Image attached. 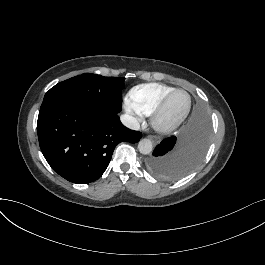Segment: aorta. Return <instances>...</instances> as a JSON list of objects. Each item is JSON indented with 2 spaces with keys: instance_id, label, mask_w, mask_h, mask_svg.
Wrapping results in <instances>:
<instances>
[{
  "instance_id": "aorta-1",
  "label": "aorta",
  "mask_w": 265,
  "mask_h": 265,
  "mask_svg": "<svg viewBox=\"0 0 265 265\" xmlns=\"http://www.w3.org/2000/svg\"><path fill=\"white\" fill-rule=\"evenodd\" d=\"M152 142L149 140V139H142L139 141L138 143V149H139V152L142 153V154H149L151 153L152 151Z\"/></svg>"
}]
</instances>
